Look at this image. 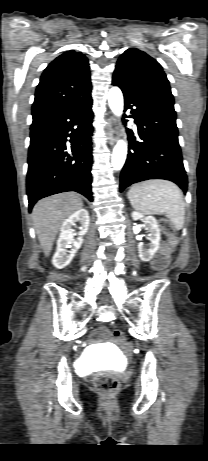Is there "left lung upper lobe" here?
<instances>
[{
    "mask_svg": "<svg viewBox=\"0 0 208 461\" xmlns=\"http://www.w3.org/2000/svg\"><path fill=\"white\" fill-rule=\"evenodd\" d=\"M113 82L135 97L174 105L169 81L161 65L137 48H129L120 56Z\"/></svg>",
    "mask_w": 208,
    "mask_h": 461,
    "instance_id": "5c2ea615",
    "label": "left lung upper lobe"
}]
</instances>
